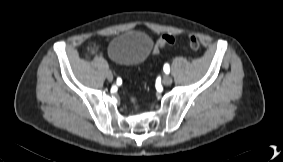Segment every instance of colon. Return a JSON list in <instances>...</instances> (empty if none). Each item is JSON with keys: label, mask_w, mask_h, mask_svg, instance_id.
<instances>
[{"label": "colon", "mask_w": 283, "mask_h": 162, "mask_svg": "<svg viewBox=\"0 0 283 162\" xmlns=\"http://www.w3.org/2000/svg\"><path fill=\"white\" fill-rule=\"evenodd\" d=\"M174 42H175V38H174L173 35L164 34L161 37H159L158 40L156 41L155 51L157 53H159L161 49L172 46L174 44ZM188 44H189L190 48H192L194 50L198 49L199 45H200L197 37H195L194 35L189 36ZM130 102L134 105L135 110H137L139 108L137 100H136L135 97H131Z\"/></svg>", "instance_id": "1"}]
</instances>
